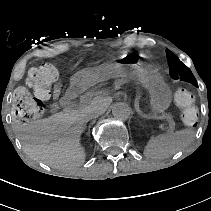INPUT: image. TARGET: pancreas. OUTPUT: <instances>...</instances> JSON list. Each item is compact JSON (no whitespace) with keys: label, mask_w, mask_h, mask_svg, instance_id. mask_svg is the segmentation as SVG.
I'll return each instance as SVG.
<instances>
[{"label":"pancreas","mask_w":211,"mask_h":211,"mask_svg":"<svg viewBox=\"0 0 211 211\" xmlns=\"http://www.w3.org/2000/svg\"><path fill=\"white\" fill-rule=\"evenodd\" d=\"M162 117L168 120L170 127H174L175 123L169 114H163Z\"/></svg>","instance_id":"pancreas-1"}]
</instances>
